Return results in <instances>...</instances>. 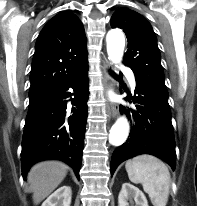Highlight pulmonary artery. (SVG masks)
<instances>
[{"label":"pulmonary artery","mask_w":197,"mask_h":206,"mask_svg":"<svg viewBox=\"0 0 197 206\" xmlns=\"http://www.w3.org/2000/svg\"><path fill=\"white\" fill-rule=\"evenodd\" d=\"M127 73H128L129 80H130V83H131L132 87H135L136 82H135V78H134V75H133L132 71L128 70Z\"/></svg>","instance_id":"e3ab8cb5"}]
</instances>
